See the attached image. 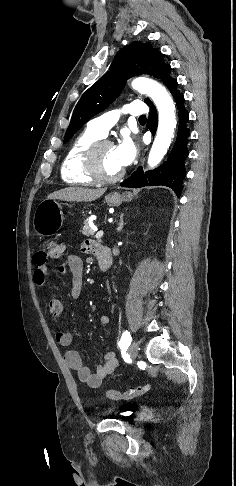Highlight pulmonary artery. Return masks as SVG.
<instances>
[{"label": "pulmonary artery", "instance_id": "obj_1", "mask_svg": "<svg viewBox=\"0 0 236 486\" xmlns=\"http://www.w3.org/2000/svg\"><path fill=\"white\" fill-rule=\"evenodd\" d=\"M123 112L131 116H143L148 113V107L142 101L136 100L126 105L123 108ZM119 114V111L107 112L90 120L87 124V128L101 137H105L110 128L118 120Z\"/></svg>", "mask_w": 236, "mask_h": 486}]
</instances>
